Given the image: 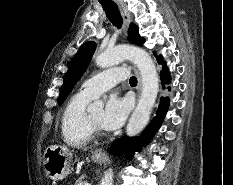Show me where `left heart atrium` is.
Listing matches in <instances>:
<instances>
[{"label": "left heart atrium", "instance_id": "obj_1", "mask_svg": "<svg viewBox=\"0 0 233 185\" xmlns=\"http://www.w3.org/2000/svg\"><path fill=\"white\" fill-rule=\"evenodd\" d=\"M130 110L127 98L111 96L103 110L100 125L106 130H115L125 121Z\"/></svg>", "mask_w": 233, "mask_h": 185}]
</instances>
